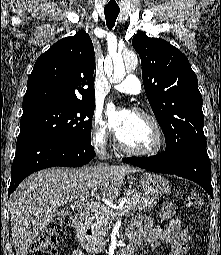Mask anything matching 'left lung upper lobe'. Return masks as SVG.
<instances>
[{
    "label": "left lung upper lobe",
    "mask_w": 221,
    "mask_h": 255,
    "mask_svg": "<svg viewBox=\"0 0 221 255\" xmlns=\"http://www.w3.org/2000/svg\"><path fill=\"white\" fill-rule=\"evenodd\" d=\"M133 48L141 58L143 84L164 133V154L176 158L193 147H206L198 80L187 57L162 39L137 33Z\"/></svg>",
    "instance_id": "left-lung-upper-lobe-1"
}]
</instances>
